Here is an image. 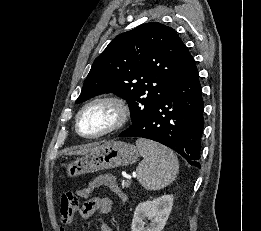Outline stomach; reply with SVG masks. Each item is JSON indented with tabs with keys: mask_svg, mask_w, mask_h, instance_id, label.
Segmentation results:
<instances>
[{
	"mask_svg": "<svg viewBox=\"0 0 261 231\" xmlns=\"http://www.w3.org/2000/svg\"><path fill=\"white\" fill-rule=\"evenodd\" d=\"M138 152L133 144L111 141L103 148L69 162L66 172L70 178H74L85 173L131 165L137 161Z\"/></svg>",
	"mask_w": 261,
	"mask_h": 231,
	"instance_id": "0dacf381",
	"label": "stomach"
}]
</instances>
